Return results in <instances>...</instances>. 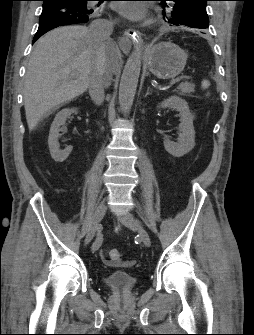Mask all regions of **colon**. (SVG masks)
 Here are the masks:
<instances>
[{"instance_id": "5ec220e1", "label": "colon", "mask_w": 254, "mask_h": 335, "mask_svg": "<svg viewBox=\"0 0 254 335\" xmlns=\"http://www.w3.org/2000/svg\"><path fill=\"white\" fill-rule=\"evenodd\" d=\"M202 85L204 87H208L209 86V81L208 80H203ZM106 259H107L108 262L117 263L121 259V253L117 249H109L106 252Z\"/></svg>"}]
</instances>
